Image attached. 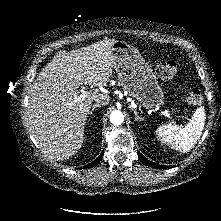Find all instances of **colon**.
I'll return each mask as SVG.
<instances>
[{"label": "colon", "mask_w": 221, "mask_h": 221, "mask_svg": "<svg viewBox=\"0 0 221 221\" xmlns=\"http://www.w3.org/2000/svg\"><path fill=\"white\" fill-rule=\"evenodd\" d=\"M158 76L164 80H172L178 73V67L176 62L172 60L164 61L160 63L156 68ZM190 105H199L202 103L203 97L199 89H192L186 98Z\"/></svg>", "instance_id": "5ec220e1"}]
</instances>
